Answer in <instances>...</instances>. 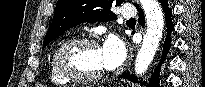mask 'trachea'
<instances>
[{
  "label": "trachea",
  "instance_id": "3493384b",
  "mask_svg": "<svg viewBox=\"0 0 205 87\" xmlns=\"http://www.w3.org/2000/svg\"><path fill=\"white\" fill-rule=\"evenodd\" d=\"M136 20L133 18V19H130L128 20V22H135Z\"/></svg>",
  "mask_w": 205,
  "mask_h": 87
}]
</instances>
